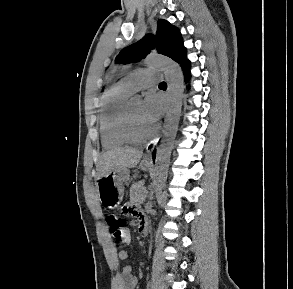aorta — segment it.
I'll use <instances>...</instances> for the list:
<instances>
[{
	"instance_id": "obj_1",
	"label": "aorta",
	"mask_w": 293,
	"mask_h": 289,
	"mask_svg": "<svg viewBox=\"0 0 293 289\" xmlns=\"http://www.w3.org/2000/svg\"><path fill=\"white\" fill-rule=\"evenodd\" d=\"M145 64L150 68L164 71L168 83V108L165 118L162 139L157 148L155 175L153 179L156 194L160 193L167 179L171 151L176 137L184 93V79L180 67L172 60L163 57H148ZM140 100V96H135Z\"/></svg>"
}]
</instances>
